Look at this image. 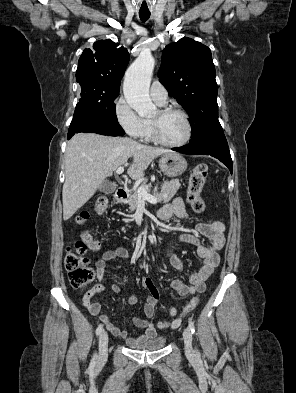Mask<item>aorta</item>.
<instances>
[{
  "label": "aorta",
  "mask_w": 296,
  "mask_h": 393,
  "mask_svg": "<svg viewBox=\"0 0 296 393\" xmlns=\"http://www.w3.org/2000/svg\"><path fill=\"white\" fill-rule=\"evenodd\" d=\"M155 60L148 53H141L125 73L123 92L127 103L139 116L153 114L156 106L149 96V87Z\"/></svg>",
  "instance_id": "aorta-1"
}]
</instances>
